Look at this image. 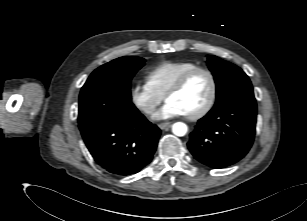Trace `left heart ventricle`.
<instances>
[{
  "instance_id": "obj_1",
  "label": "left heart ventricle",
  "mask_w": 307,
  "mask_h": 221,
  "mask_svg": "<svg viewBox=\"0 0 307 221\" xmlns=\"http://www.w3.org/2000/svg\"><path fill=\"white\" fill-rule=\"evenodd\" d=\"M211 92L209 77L204 73L194 75L185 87L178 93L171 95L167 101L180 106L185 115L199 111L208 101Z\"/></svg>"
}]
</instances>
